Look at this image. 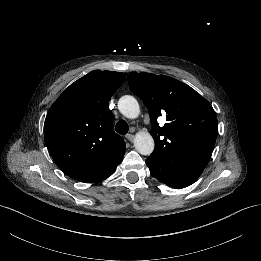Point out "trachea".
<instances>
[{"label":"trachea","mask_w":261,"mask_h":261,"mask_svg":"<svg viewBox=\"0 0 261 261\" xmlns=\"http://www.w3.org/2000/svg\"><path fill=\"white\" fill-rule=\"evenodd\" d=\"M115 130L122 135L127 134L129 130L128 123L125 120L118 121L115 126Z\"/></svg>","instance_id":"trachea-1"}]
</instances>
